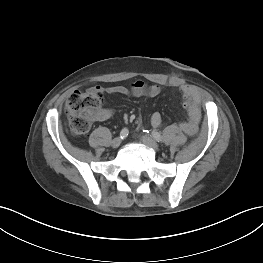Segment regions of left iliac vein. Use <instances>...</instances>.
Here are the masks:
<instances>
[{"label":"left iliac vein","instance_id":"4c4485c4","mask_svg":"<svg viewBox=\"0 0 263 263\" xmlns=\"http://www.w3.org/2000/svg\"><path fill=\"white\" fill-rule=\"evenodd\" d=\"M141 140L147 147L153 149L154 151L159 150V145L157 144V142L149 136L144 135L141 137Z\"/></svg>","mask_w":263,"mask_h":263}]
</instances>
